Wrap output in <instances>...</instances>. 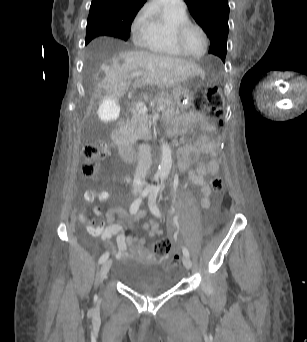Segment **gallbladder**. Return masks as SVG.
I'll return each instance as SVG.
<instances>
[{
    "label": "gallbladder",
    "instance_id": "gallbladder-1",
    "mask_svg": "<svg viewBox=\"0 0 307 342\" xmlns=\"http://www.w3.org/2000/svg\"><path fill=\"white\" fill-rule=\"evenodd\" d=\"M102 123H115L119 118L120 100L117 95H110L99 105Z\"/></svg>",
    "mask_w": 307,
    "mask_h": 342
}]
</instances>
